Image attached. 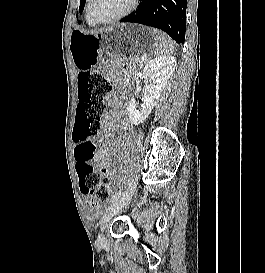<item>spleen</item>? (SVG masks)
Instances as JSON below:
<instances>
[{
	"label": "spleen",
	"instance_id": "1",
	"mask_svg": "<svg viewBox=\"0 0 265 273\" xmlns=\"http://www.w3.org/2000/svg\"><path fill=\"white\" fill-rule=\"evenodd\" d=\"M154 40H155V55L166 56L173 53L174 44L173 41L165 35L163 32L156 29L152 30Z\"/></svg>",
	"mask_w": 265,
	"mask_h": 273
}]
</instances>
